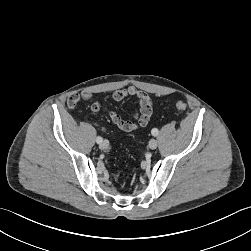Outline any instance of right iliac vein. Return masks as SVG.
<instances>
[{
	"instance_id": "right-iliac-vein-1",
	"label": "right iliac vein",
	"mask_w": 251,
	"mask_h": 251,
	"mask_svg": "<svg viewBox=\"0 0 251 251\" xmlns=\"http://www.w3.org/2000/svg\"><path fill=\"white\" fill-rule=\"evenodd\" d=\"M109 147V143H108V141H103V142H101L100 144H99V148L101 149V150H106L107 148Z\"/></svg>"
}]
</instances>
